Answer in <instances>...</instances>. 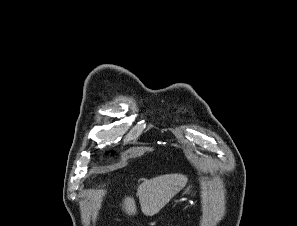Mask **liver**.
I'll return each instance as SVG.
<instances>
[{
	"label": "liver",
	"mask_w": 297,
	"mask_h": 226,
	"mask_svg": "<svg viewBox=\"0 0 297 226\" xmlns=\"http://www.w3.org/2000/svg\"><path fill=\"white\" fill-rule=\"evenodd\" d=\"M186 183L187 177L182 174H166L144 181L138 188L142 212L147 216L157 214ZM122 207L129 216L137 213L133 197H125Z\"/></svg>",
	"instance_id": "1"
}]
</instances>
